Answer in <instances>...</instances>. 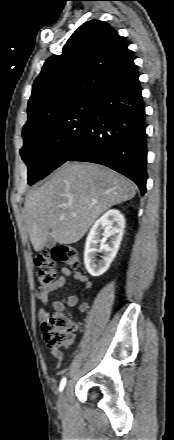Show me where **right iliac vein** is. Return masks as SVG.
Listing matches in <instances>:
<instances>
[{
  "mask_svg": "<svg viewBox=\"0 0 174 440\" xmlns=\"http://www.w3.org/2000/svg\"><path fill=\"white\" fill-rule=\"evenodd\" d=\"M57 408H58V412L63 415L65 414L66 410H67V403H66V392L63 391L61 393V395L58 398L57 401Z\"/></svg>",
  "mask_w": 174,
  "mask_h": 440,
  "instance_id": "obj_1",
  "label": "right iliac vein"
}]
</instances>
